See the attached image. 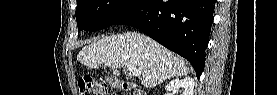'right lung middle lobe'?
I'll return each instance as SVG.
<instances>
[{
  "mask_svg": "<svg viewBox=\"0 0 277 95\" xmlns=\"http://www.w3.org/2000/svg\"><path fill=\"white\" fill-rule=\"evenodd\" d=\"M141 0H79L76 7L78 31H96L116 24Z\"/></svg>",
  "mask_w": 277,
  "mask_h": 95,
  "instance_id": "right-lung-middle-lobe-1",
  "label": "right lung middle lobe"
}]
</instances>
